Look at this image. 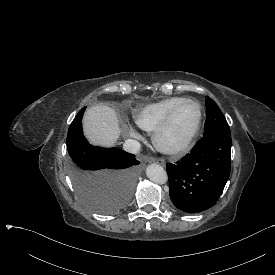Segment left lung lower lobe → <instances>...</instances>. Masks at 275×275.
Here are the masks:
<instances>
[{
	"label": "left lung lower lobe",
	"mask_w": 275,
	"mask_h": 275,
	"mask_svg": "<svg viewBox=\"0 0 275 275\" xmlns=\"http://www.w3.org/2000/svg\"><path fill=\"white\" fill-rule=\"evenodd\" d=\"M231 134L203 137L190 154L167 164L169 194L174 206L186 213L212 207L230 175Z\"/></svg>",
	"instance_id": "1"
}]
</instances>
